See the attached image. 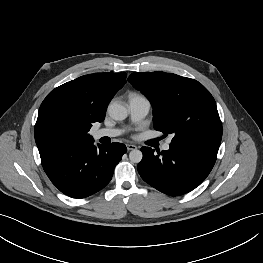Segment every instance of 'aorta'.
<instances>
[{
  "instance_id": "762f6f07",
  "label": "aorta",
  "mask_w": 263,
  "mask_h": 263,
  "mask_svg": "<svg viewBox=\"0 0 263 263\" xmlns=\"http://www.w3.org/2000/svg\"><path fill=\"white\" fill-rule=\"evenodd\" d=\"M108 113L111 118L117 121L124 120L128 116L127 108L119 102L110 103L108 106ZM142 157V152L137 149H134L129 153V159L132 163H139L142 160Z\"/></svg>"
}]
</instances>
